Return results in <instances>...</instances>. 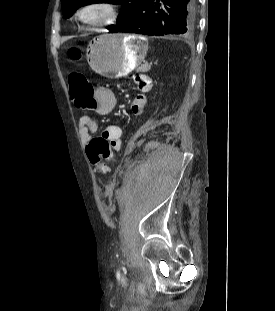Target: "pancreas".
Here are the masks:
<instances>
[{"instance_id":"pancreas-1","label":"pancreas","mask_w":275,"mask_h":311,"mask_svg":"<svg viewBox=\"0 0 275 311\" xmlns=\"http://www.w3.org/2000/svg\"><path fill=\"white\" fill-rule=\"evenodd\" d=\"M150 66L148 64L141 65L137 68V72H146L148 71Z\"/></svg>"}]
</instances>
